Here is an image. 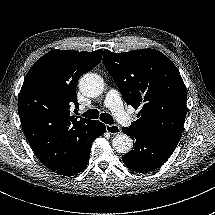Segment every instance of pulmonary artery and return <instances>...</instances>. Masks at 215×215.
Instances as JSON below:
<instances>
[{
    "label": "pulmonary artery",
    "instance_id": "e3ab8cb5",
    "mask_svg": "<svg viewBox=\"0 0 215 215\" xmlns=\"http://www.w3.org/2000/svg\"><path fill=\"white\" fill-rule=\"evenodd\" d=\"M105 104L111 108V112L117 116L116 123L120 128L127 129L132 125L135 113L133 111L128 113L124 112V105L121 102L117 90H109L106 95Z\"/></svg>",
    "mask_w": 215,
    "mask_h": 215
}]
</instances>
